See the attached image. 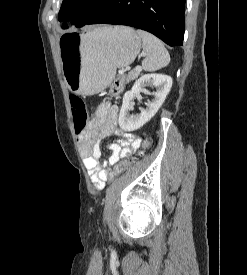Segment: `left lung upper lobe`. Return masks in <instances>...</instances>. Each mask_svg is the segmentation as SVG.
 <instances>
[{"mask_svg":"<svg viewBox=\"0 0 247 275\" xmlns=\"http://www.w3.org/2000/svg\"><path fill=\"white\" fill-rule=\"evenodd\" d=\"M108 0H63L58 20L63 21L62 28L66 29L67 21L76 27L83 26L89 21Z\"/></svg>","mask_w":247,"mask_h":275,"instance_id":"obj_1","label":"left lung upper lobe"}]
</instances>
